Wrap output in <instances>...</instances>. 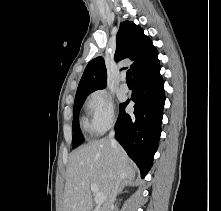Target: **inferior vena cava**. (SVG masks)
I'll use <instances>...</instances> for the list:
<instances>
[{
    "instance_id": "602c4592",
    "label": "inferior vena cava",
    "mask_w": 221,
    "mask_h": 211,
    "mask_svg": "<svg viewBox=\"0 0 221 211\" xmlns=\"http://www.w3.org/2000/svg\"><path fill=\"white\" fill-rule=\"evenodd\" d=\"M115 132L114 130H111V132L109 133V140L111 142L112 147L114 148L115 152L118 153L119 151V146L117 141L114 138ZM120 179H121V170L118 169V173H117V178L111 188V192L109 195V200L105 203V206L103 208L102 211H113V204L114 201L116 199V195L118 193V188H119V183H120Z\"/></svg>"
}]
</instances>
